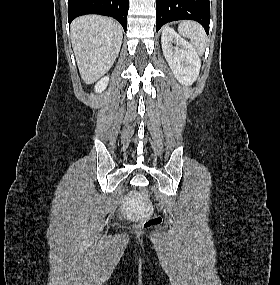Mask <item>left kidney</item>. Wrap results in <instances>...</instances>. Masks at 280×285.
Instances as JSON below:
<instances>
[{"instance_id":"obj_1","label":"left kidney","mask_w":280,"mask_h":285,"mask_svg":"<svg viewBox=\"0 0 280 285\" xmlns=\"http://www.w3.org/2000/svg\"><path fill=\"white\" fill-rule=\"evenodd\" d=\"M162 50L176 79L185 86L197 79L201 61L195 49L171 27H165L161 37Z\"/></svg>"}]
</instances>
